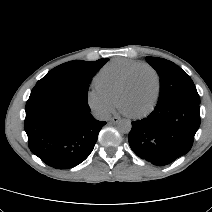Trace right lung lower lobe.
I'll list each match as a JSON object with an SVG mask.
<instances>
[{"label":"right lung lower lobe","instance_id":"right-lung-lower-lobe-1","mask_svg":"<svg viewBox=\"0 0 212 212\" xmlns=\"http://www.w3.org/2000/svg\"><path fill=\"white\" fill-rule=\"evenodd\" d=\"M25 111L31 152L56 169L83 162L106 124L91 115L86 98L62 90L32 91Z\"/></svg>","mask_w":212,"mask_h":212}]
</instances>
